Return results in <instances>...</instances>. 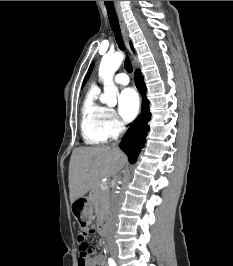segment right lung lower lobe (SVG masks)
Wrapping results in <instances>:
<instances>
[{
    "label": "right lung lower lobe",
    "instance_id": "1",
    "mask_svg": "<svg viewBox=\"0 0 233 266\" xmlns=\"http://www.w3.org/2000/svg\"><path fill=\"white\" fill-rule=\"evenodd\" d=\"M135 82L138 90L143 96L142 111L140 116L132 123L120 143V148L128 155L130 163H134L146 140L149 131L148 122L151 113L149 111V101L146 98V86L143 76L139 70L135 72Z\"/></svg>",
    "mask_w": 233,
    "mask_h": 266
}]
</instances>
